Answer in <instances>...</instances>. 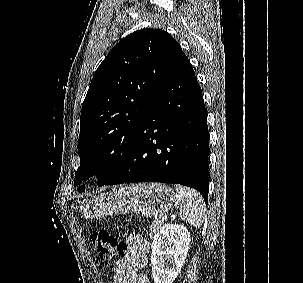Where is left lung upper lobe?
Returning a JSON list of instances; mask_svg holds the SVG:
<instances>
[{
  "label": "left lung upper lobe",
  "instance_id": "1",
  "mask_svg": "<svg viewBox=\"0 0 303 283\" xmlns=\"http://www.w3.org/2000/svg\"><path fill=\"white\" fill-rule=\"evenodd\" d=\"M167 32L142 29L121 40L96 70L84 99L75 173L82 180L96 175L104 185L121 168L146 110L165 74L181 53Z\"/></svg>",
  "mask_w": 303,
  "mask_h": 283
}]
</instances>
